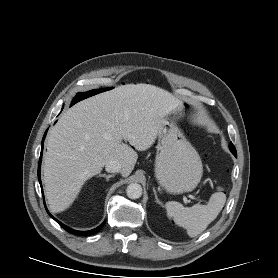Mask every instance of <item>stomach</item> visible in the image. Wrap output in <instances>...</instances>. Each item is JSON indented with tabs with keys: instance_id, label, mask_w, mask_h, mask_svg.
<instances>
[{
	"instance_id": "0dacf381",
	"label": "stomach",
	"mask_w": 278,
	"mask_h": 278,
	"mask_svg": "<svg viewBox=\"0 0 278 278\" xmlns=\"http://www.w3.org/2000/svg\"><path fill=\"white\" fill-rule=\"evenodd\" d=\"M202 162L174 121L164 120L158 133L155 177L172 194L190 192L201 180Z\"/></svg>"
}]
</instances>
